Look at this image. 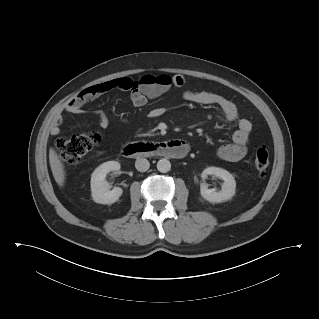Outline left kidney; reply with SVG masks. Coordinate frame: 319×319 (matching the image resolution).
<instances>
[{"label": "left kidney", "instance_id": "5707ae66", "mask_svg": "<svg viewBox=\"0 0 319 319\" xmlns=\"http://www.w3.org/2000/svg\"><path fill=\"white\" fill-rule=\"evenodd\" d=\"M208 175H215L222 179L224 183L219 192L208 189L205 183H201L200 192L204 199L211 203H221L231 199L235 195L236 181L230 172L219 167H208L202 172L201 177L205 179Z\"/></svg>", "mask_w": 319, "mask_h": 319}]
</instances>
